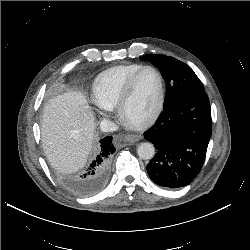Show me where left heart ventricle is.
<instances>
[{"mask_svg":"<svg viewBox=\"0 0 250 250\" xmlns=\"http://www.w3.org/2000/svg\"><path fill=\"white\" fill-rule=\"evenodd\" d=\"M158 91L159 81L156 74L151 70L142 72L125 106L126 118L137 121L147 115L156 102Z\"/></svg>","mask_w":250,"mask_h":250,"instance_id":"b2bd125f","label":"left heart ventricle"}]
</instances>
